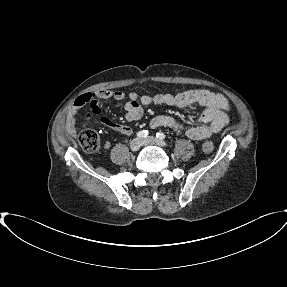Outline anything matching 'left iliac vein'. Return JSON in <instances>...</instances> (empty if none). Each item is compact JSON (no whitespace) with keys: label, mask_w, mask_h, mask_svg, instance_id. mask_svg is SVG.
<instances>
[{"label":"left iliac vein","mask_w":287,"mask_h":287,"mask_svg":"<svg viewBox=\"0 0 287 287\" xmlns=\"http://www.w3.org/2000/svg\"><path fill=\"white\" fill-rule=\"evenodd\" d=\"M142 144L143 145H147V144H154V145H158V146H161V147H165L167 146L166 142L156 138V137H153V136H149L145 139H142L141 140Z\"/></svg>","instance_id":"1"}]
</instances>
